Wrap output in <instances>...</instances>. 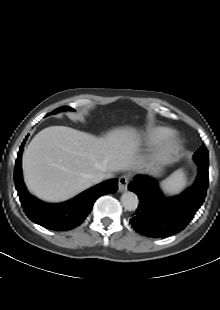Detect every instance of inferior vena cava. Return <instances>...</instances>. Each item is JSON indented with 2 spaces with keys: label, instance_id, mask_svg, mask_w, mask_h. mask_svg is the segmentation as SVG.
I'll return each instance as SVG.
<instances>
[{
  "label": "inferior vena cava",
  "instance_id": "1",
  "mask_svg": "<svg viewBox=\"0 0 220 310\" xmlns=\"http://www.w3.org/2000/svg\"><path fill=\"white\" fill-rule=\"evenodd\" d=\"M107 174L103 172H96L89 176V179L92 183L96 184L101 182L103 179L107 178Z\"/></svg>",
  "mask_w": 220,
  "mask_h": 310
}]
</instances>
